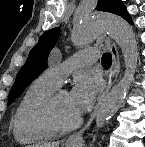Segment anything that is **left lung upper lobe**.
<instances>
[{"label":"left lung upper lobe","instance_id":"1","mask_svg":"<svg viewBox=\"0 0 145 147\" xmlns=\"http://www.w3.org/2000/svg\"><path fill=\"white\" fill-rule=\"evenodd\" d=\"M96 10L111 12L122 17L127 12L123 2L120 0H98ZM59 33V28H53L39 38L11 88L8 98L9 104L46 69L48 55L54 47Z\"/></svg>","mask_w":145,"mask_h":147}]
</instances>
